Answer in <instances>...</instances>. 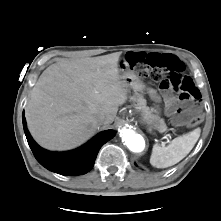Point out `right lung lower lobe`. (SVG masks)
<instances>
[{
	"instance_id": "right-lung-lower-lobe-1",
	"label": "right lung lower lobe",
	"mask_w": 221,
	"mask_h": 221,
	"mask_svg": "<svg viewBox=\"0 0 221 221\" xmlns=\"http://www.w3.org/2000/svg\"><path fill=\"white\" fill-rule=\"evenodd\" d=\"M22 121L28 144L37 161L48 170L67 176H77L90 171L99 149L115 135V131L106 130L76 150L54 153L41 148L32 139L26 126L24 113Z\"/></svg>"
}]
</instances>
